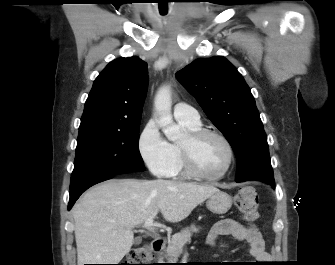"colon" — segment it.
I'll return each instance as SVG.
<instances>
[{
    "label": "colon",
    "mask_w": 335,
    "mask_h": 265,
    "mask_svg": "<svg viewBox=\"0 0 335 265\" xmlns=\"http://www.w3.org/2000/svg\"><path fill=\"white\" fill-rule=\"evenodd\" d=\"M235 205L243 217L254 222L258 217V198L251 186L242 187L235 195ZM152 252L149 246L142 245L134 248L123 265H151Z\"/></svg>",
    "instance_id": "5ec220e1"
}]
</instances>
